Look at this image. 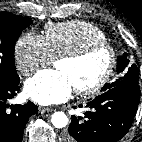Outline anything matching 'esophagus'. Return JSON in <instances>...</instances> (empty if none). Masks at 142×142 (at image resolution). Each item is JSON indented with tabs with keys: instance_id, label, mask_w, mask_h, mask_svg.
Returning <instances> with one entry per match:
<instances>
[{
	"instance_id": "34e87169",
	"label": "esophagus",
	"mask_w": 142,
	"mask_h": 142,
	"mask_svg": "<svg viewBox=\"0 0 142 142\" xmlns=\"http://www.w3.org/2000/svg\"><path fill=\"white\" fill-rule=\"evenodd\" d=\"M52 109L51 108H48V107H39V112L41 114L45 113V112H51Z\"/></svg>"
}]
</instances>
